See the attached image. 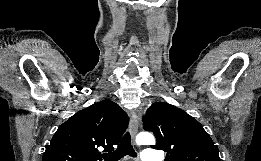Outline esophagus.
<instances>
[{
	"mask_svg": "<svg viewBox=\"0 0 261 161\" xmlns=\"http://www.w3.org/2000/svg\"><path fill=\"white\" fill-rule=\"evenodd\" d=\"M139 129V116L135 110L130 113V133L133 141Z\"/></svg>",
	"mask_w": 261,
	"mask_h": 161,
	"instance_id": "obj_1",
	"label": "esophagus"
}]
</instances>
